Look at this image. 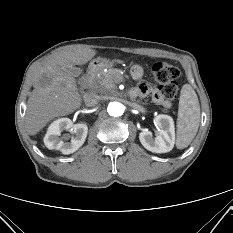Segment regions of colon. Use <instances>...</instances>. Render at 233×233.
<instances>
[{
    "mask_svg": "<svg viewBox=\"0 0 233 233\" xmlns=\"http://www.w3.org/2000/svg\"><path fill=\"white\" fill-rule=\"evenodd\" d=\"M179 75L178 68L167 62H157L153 65V76L158 83L162 84L161 92L166 99H174L176 97Z\"/></svg>",
    "mask_w": 233,
    "mask_h": 233,
    "instance_id": "colon-1",
    "label": "colon"
}]
</instances>
